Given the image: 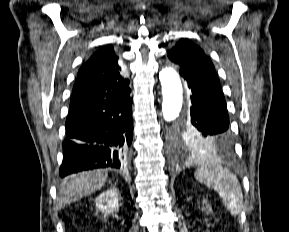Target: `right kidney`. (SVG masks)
Returning <instances> with one entry per match:
<instances>
[{"instance_id": "obj_1", "label": "right kidney", "mask_w": 289, "mask_h": 232, "mask_svg": "<svg viewBox=\"0 0 289 232\" xmlns=\"http://www.w3.org/2000/svg\"><path fill=\"white\" fill-rule=\"evenodd\" d=\"M120 195L115 188H110L99 195L96 199V207L107 217L113 211L119 209Z\"/></svg>"}]
</instances>
